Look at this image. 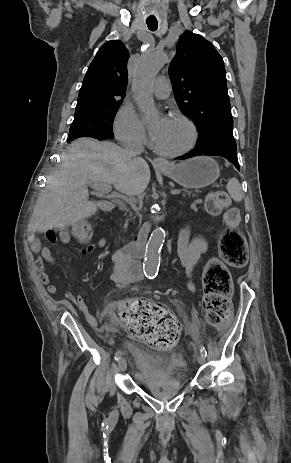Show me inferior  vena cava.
Returning <instances> with one entry per match:
<instances>
[{"mask_svg":"<svg viewBox=\"0 0 291 463\" xmlns=\"http://www.w3.org/2000/svg\"><path fill=\"white\" fill-rule=\"evenodd\" d=\"M125 152L132 158H137L144 151V147L140 143H129L124 145Z\"/></svg>","mask_w":291,"mask_h":463,"instance_id":"inferior-vena-cava-1","label":"inferior vena cava"}]
</instances>
